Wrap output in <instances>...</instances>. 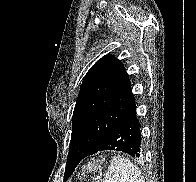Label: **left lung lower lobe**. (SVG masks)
I'll return each instance as SVG.
<instances>
[{
    "instance_id": "0a47b994",
    "label": "left lung lower lobe",
    "mask_w": 196,
    "mask_h": 182,
    "mask_svg": "<svg viewBox=\"0 0 196 182\" xmlns=\"http://www.w3.org/2000/svg\"><path fill=\"white\" fill-rule=\"evenodd\" d=\"M140 126L134 104L93 151H82V148L73 149L69 151L68 160H73L72 162L77 166L88 155L105 150L120 151L132 157H139L142 154Z\"/></svg>"
}]
</instances>
